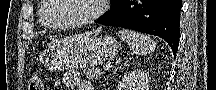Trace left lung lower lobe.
Here are the masks:
<instances>
[{"instance_id":"0a47b994","label":"left lung lower lobe","mask_w":216,"mask_h":90,"mask_svg":"<svg viewBox=\"0 0 216 90\" xmlns=\"http://www.w3.org/2000/svg\"><path fill=\"white\" fill-rule=\"evenodd\" d=\"M181 0H118L96 23L156 35L178 50Z\"/></svg>"}]
</instances>
